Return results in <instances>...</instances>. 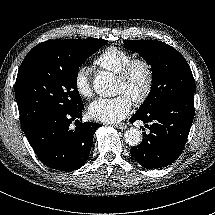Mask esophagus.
<instances>
[{
	"mask_svg": "<svg viewBox=\"0 0 215 215\" xmlns=\"http://www.w3.org/2000/svg\"><path fill=\"white\" fill-rule=\"evenodd\" d=\"M115 126H116V128H118V129H126V128H127L126 123L116 124Z\"/></svg>",
	"mask_w": 215,
	"mask_h": 215,
	"instance_id": "obj_1",
	"label": "esophagus"
}]
</instances>
